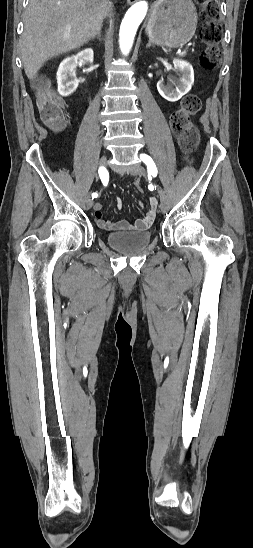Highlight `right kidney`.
Returning <instances> with one entry per match:
<instances>
[{
  "instance_id": "obj_1",
  "label": "right kidney",
  "mask_w": 253,
  "mask_h": 548,
  "mask_svg": "<svg viewBox=\"0 0 253 548\" xmlns=\"http://www.w3.org/2000/svg\"><path fill=\"white\" fill-rule=\"evenodd\" d=\"M94 58L93 50L88 48L76 55L65 58L59 65L57 71L58 93L67 97L71 95L78 87L76 78V66L80 62L92 63Z\"/></svg>"
}]
</instances>
